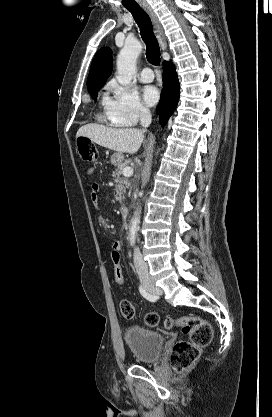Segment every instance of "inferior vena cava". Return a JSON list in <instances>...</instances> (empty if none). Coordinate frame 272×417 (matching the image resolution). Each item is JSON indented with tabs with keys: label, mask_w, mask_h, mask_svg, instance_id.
<instances>
[{
	"label": "inferior vena cava",
	"mask_w": 272,
	"mask_h": 417,
	"mask_svg": "<svg viewBox=\"0 0 272 417\" xmlns=\"http://www.w3.org/2000/svg\"><path fill=\"white\" fill-rule=\"evenodd\" d=\"M152 121L151 113L148 109L141 108L140 110V122L144 129H146ZM134 265L136 272L139 276L148 275V266L147 263L143 260L142 254L139 248H135L134 250Z\"/></svg>",
	"instance_id": "inferior-vena-cava-1"
}]
</instances>
